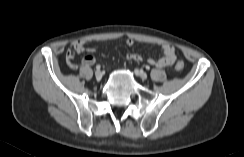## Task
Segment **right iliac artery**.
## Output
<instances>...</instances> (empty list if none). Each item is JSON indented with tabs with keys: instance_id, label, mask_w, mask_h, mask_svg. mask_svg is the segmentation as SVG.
I'll use <instances>...</instances> for the list:
<instances>
[{
	"instance_id": "obj_1",
	"label": "right iliac artery",
	"mask_w": 244,
	"mask_h": 157,
	"mask_svg": "<svg viewBox=\"0 0 244 157\" xmlns=\"http://www.w3.org/2000/svg\"><path fill=\"white\" fill-rule=\"evenodd\" d=\"M100 68H101L100 65H97V66H96V70H97V71L100 70Z\"/></svg>"
}]
</instances>
